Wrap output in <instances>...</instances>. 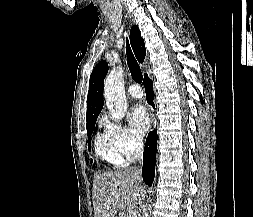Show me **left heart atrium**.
Instances as JSON below:
<instances>
[{"instance_id":"obj_1","label":"left heart atrium","mask_w":253,"mask_h":217,"mask_svg":"<svg viewBox=\"0 0 253 217\" xmlns=\"http://www.w3.org/2000/svg\"><path fill=\"white\" fill-rule=\"evenodd\" d=\"M132 128L139 134H144L150 126V117L142 104H136L129 116Z\"/></svg>"}]
</instances>
